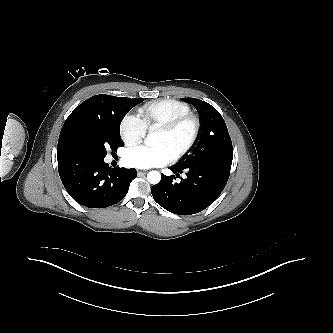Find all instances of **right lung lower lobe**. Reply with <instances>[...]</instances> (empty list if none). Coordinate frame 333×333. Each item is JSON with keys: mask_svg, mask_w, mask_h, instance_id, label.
<instances>
[{"mask_svg": "<svg viewBox=\"0 0 333 333\" xmlns=\"http://www.w3.org/2000/svg\"><path fill=\"white\" fill-rule=\"evenodd\" d=\"M58 157L61 181L70 196L90 208H104L121 201L135 169L109 168L104 158L84 152H62Z\"/></svg>", "mask_w": 333, "mask_h": 333, "instance_id": "98d812e1", "label": "right lung lower lobe"}]
</instances>
